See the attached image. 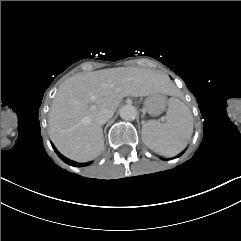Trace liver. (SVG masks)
I'll use <instances>...</instances> for the list:
<instances>
[{
	"instance_id": "1",
	"label": "liver",
	"mask_w": 241,
	"mask_h": 241,
	"mask_svg": "<svg viewBox=\"0 0 241 241\" xmlns=\"http://www.w3.org/2000/svg\"><path fill=\"white\" fill-rule=\"evenodd\" d=\"M169 81L158 71L139 68L105 69L74 75L58 88L49 112V134L65 156L85 162L104 149L96 115L115 111L125 97L167 94Z\"/></svg>"
}]
</instances>
